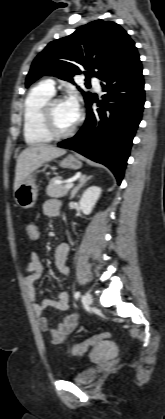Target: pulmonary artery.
Returning <instances> with one entry per match:
<instances>
[{
	"mask_svg": "<svg viewBox=\"0 0 165 419\" xmlns=\"http://www.w3.org/2000/svg\"><path fill=\"white\" fill-rule=\"evenodd\" d=\"M91 83H92V85L95 87V89L97 90V91H100V89H101V80L100 79H98V78H96V77H92L91 78ZM44 84L50 89V90H52L53 92L55 91V87H54V81L52 80V79H48V80H46L45 82H44Z\"/></svg>",
	"mask_w": 165,
	"mask_h": 419,
	"instance_id": "pulmonary-artery-1",
	"label": "pulmonary artery"
}]
</instances>
